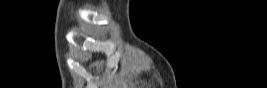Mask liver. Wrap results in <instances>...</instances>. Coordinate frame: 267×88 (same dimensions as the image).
Masks as SVG:
<instances>
[{"mask_svg": "<svg viewBox=\"0 0 267 88\" xmlns=\"http://www.w3.org/2000/svg\"><path fill=\"white\" fill-rule=\"evenodd\" d=\"M116 86H122V87H119V88H128L127 85L125 83H119V81H117V85Z\"/></svg>", "mask_w": 267, "mask_h": 88, "instance_id": "6515ba94", "label": "liver"}]
</instances>
